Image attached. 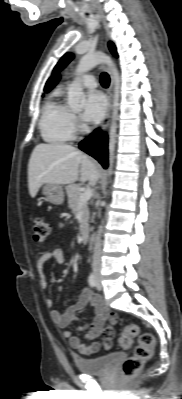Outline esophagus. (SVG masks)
<instances>
[{
	"label": "esophagus",
	"mask_w": 182,
	"mask_h": 399,
	"mask_svg": "<svg viewBox=\"0 0 182 399\" xmlns=\"http://www.w3.org/2000/svg\"><path fill=\"white\" fill-rule=\"evenodd\" d=\"M110 74V84H109V88L107 90V100H108V105H107V110L105 112V115L103 117V120L100 124V129L102 131L106 130L109 122H110V113H111V106H112V87H113V77L111 72L109 71Z\"/></svg>",
	"instance_id": "34e87169"
}]
</instances>
